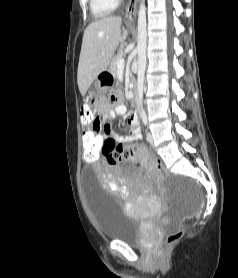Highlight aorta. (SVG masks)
Returning <instances> with one entry per match:
<instances>
[{
    "mask_svg": "<svg viewBox=\"0 0 238 278\" xmlns=\"http://www.w3.org/2000/svg\"><path fill=\"white\" fill-rule=\"evenodd\" d=\"M137 29H138L137 95H138V105L140 107V110L143 111V91H144V79H145V69H146V47H147V20H146L145 0H140Z\"/></svg>",
    "mask_w": 238,
    "mask_h": 278,
    "instance_id": "obj_1",
    "label": "aorta"
}]
</instances>
